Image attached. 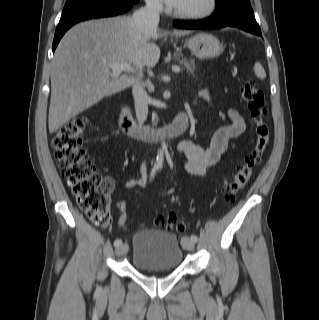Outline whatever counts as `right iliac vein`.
Listing matches in <instances>:
<instances>
[{"mask_svg": "<svg viewBox=\"0 0 319 320\" xmlns=\"http://www.w3.org/2000/svg\"><path fill=\"white\" fill-rule=\"evenodd\" d=\"M128 250L127 244H121L119 247L116 248V255L121 256L124 255Z\"/></svg>", "mask_w": 319, "mask_h": 320, "instance_id": "1", "label": "right iliac vein"}]
</instances>
